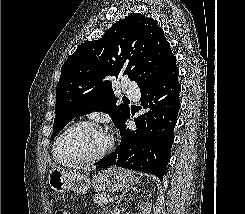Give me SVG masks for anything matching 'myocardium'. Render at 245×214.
Returning <instances> with one entry per match:
<instances>
[{
  "instance_id": "myocardium-1",
  "label": "myocardium",
  "mask_w": 245,
  "mask_h": 214,
  "mask_svg": "<svg viewBox=\"0 0 245 214\" xmlns=\"http://www.w3.org/2000/svg\"><path fill=\"white\" fill-rule=\"evenodd\" d=\"M79 126H92L96 129H98L99 131H101L105 138H106V144L105 146L101 149V151H99L96 155L92 156V157H88V158H84V159H76V160H63L61 158H59L58 154H57V149L59 146L60 141L62 140V138L72 129L79 127ZM113 138L110 135V133L103 127L101 126L98 122L93 121V120H80L77 121L75 123H73L72 125H70L69 127H67L55 140L53 147H52V154L54 159L65 166H80V165H86V164H92V163H96L98 161H100L101 159H103L113 148Z\"/></svg>"
}]
</instances>
